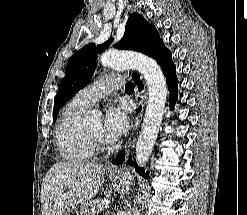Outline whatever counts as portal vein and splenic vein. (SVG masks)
Masks as SVG:
<instances>
[{
	"label": "portal vein and splenic vein",
	"instance_id": "18ae733b",
	"mask_svg": "<svg viewBox=\"0 0 247 215\" xmlns=\"http://www.w3.org/2000/svg\"><path fill=\"white\" fill-rule=\"evenodd\" d=\"M108 205H109V202H107V201H102V203L100 204L99 208L101 209V208L106 207V206H108Z\"/></svg>",
	"mask_w": 247,
	"mask_h": 215
}]
</instances>
